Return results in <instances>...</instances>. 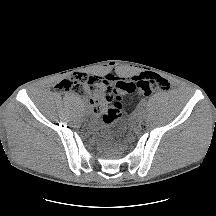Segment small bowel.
Here are the masks:
<instances>
[{
    "label": "small bowel",
    "mask_w": 216,
    "mask_h": 216,
    "mask_svg": "<svg viewBox=\"0 0 216 216\" xmlns=\"http://www.w3.org/2000/svg\"><path fill=\"white\" fill-rule=\"evenodd\" d=\"M105 77H106L110 82H113V83H116V82L120 81V79H121V78H119V77H117V76H114V75H112V74H107ZM92 108H93V106H92ZM93 111H94L95 113H97V112L94 110V108H93Z\"/></svg>",
    "instance_id": "obj_1"
}]
</instances>
